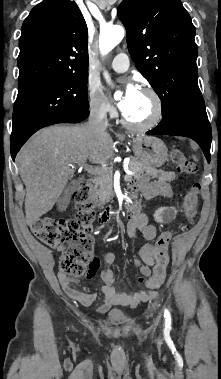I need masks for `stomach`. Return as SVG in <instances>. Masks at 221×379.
<instances>
[{
  "label": "stomach",
  "mask_w": 221,
  "mask_h": 379,
  "mask_svg": "<svg viewBox=\"0 0 221 379\" xmlns=\"http://www.w3.org/2000/svg\"><path fill=\"white\" fill-rule=\"evenodd\" d=\"M133 152L145 165L157 168L168 161V149L159 138L145 135L132 137Z\"/></svg>",
  "instance_id": "0dacf381"
}]
</instances>
